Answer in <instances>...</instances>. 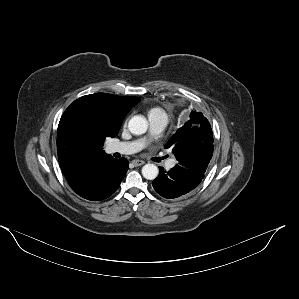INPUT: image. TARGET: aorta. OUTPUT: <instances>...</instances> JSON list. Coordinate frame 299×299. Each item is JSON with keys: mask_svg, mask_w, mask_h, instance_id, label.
I'll return each instance as SVG.
<instances>
[{"mask_svg": "<svg viewBox=\"0 0 299 299\" xmlns=\"http://www.w3.org/2000/svg\"><path fill=\"white\" fill-rule=\"evenodd\" d=\"M148 121L143 116H134L129 120L128 129L134 135H142L147 131ZM158 167L146 164L142 167V175L147 180H154L158 176Z\"/></svg>", "mask_w": 299, "mask_h": 299, "instance_id": "1", "label": "aorta"}]
</instances>
